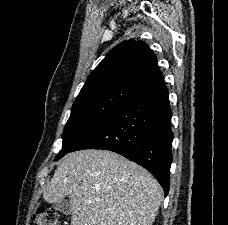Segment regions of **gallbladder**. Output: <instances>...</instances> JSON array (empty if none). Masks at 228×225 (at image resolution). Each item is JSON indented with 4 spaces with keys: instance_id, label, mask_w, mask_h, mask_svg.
I'll use <instances>...</instances> for the list:
<instances>
[{
    "instance_id": "gallbladder-1",
    "label": "gallbladder",
    "mask_w": 228,
    "mask_h": 225,
    "mask_svg": "<svg viewBox=\"0 0 228 225\" xmlns=\"http://www.w3.org/2000/svg\"><path fill=\"white\" fill-rule=\"evenodd\" d=\"M55 211H61L64 215H71L70 203L66 199H62L60 203H53Z\"/></svg>"
}]
</instances>
